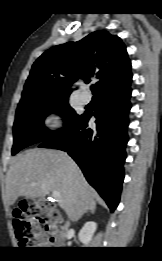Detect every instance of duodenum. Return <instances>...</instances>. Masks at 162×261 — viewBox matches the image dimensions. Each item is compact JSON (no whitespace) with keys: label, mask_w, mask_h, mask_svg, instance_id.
<instances>
[{"label":"duodenum","mask_w":162,"mask_h":261,"mask_svg":"<svg viewBox=\"0 0 162 261\" xmlns=\"http://www.w3.org/2000/svg\"><path fill=\"white\" fill-rule=\"evenodd\" d=\"M45 227L47 232L52 235V243L57 246L65 245L67 238L71 236L69 231H61L56 224H48Z\"/></svg>","instance_id":"1"}]
</instances>
